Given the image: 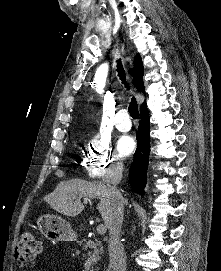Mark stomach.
<instances>
[{
	"label": "stomach",
	"mask_w": 221,
	"mask_h": 271,
	"mask_svg": "<svg viewBox=\"0 0 221 271\" xmlns=\"http://www.w3.org/2000/svg\"><path fill=\"white\" fill-rule=\"evenodd\" d=\"M41 233L51 241H74L76 233L69 221L57 215H39L36 221Z\"/></svg>",
	"instance_id": "obj_1"
}]
</instances>
